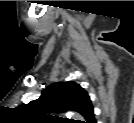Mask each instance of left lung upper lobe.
I'll use <instances>...</instances> for the list:
<instances>
[{
  "label": "left lung upper lobe",
  "mask_w": 134,
  "mask_h": 123,
  "mask_svg": "<svg viewBox=\"0 0 134 123\" xmlns=\"http://www.w3.org/2000/svg\"><path fill=\"white\" fill-rule=\"evenodd\" d=\"M23 107L33 115L48 119L67 120L49 114L77 111L85 118V122L93 123L95 120L93 105L87 91L73 81L51 84L42 92L39 99Z\"/></svg>",
  "instance_id": "obj_1"
}]
</instances>
